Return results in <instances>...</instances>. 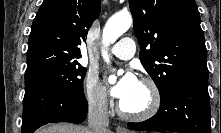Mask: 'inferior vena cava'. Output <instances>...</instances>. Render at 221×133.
Returning <instances> with one entry per match:
<instances>
[{
  "instance_id": "602c4592",
  "label": "inferior vena cava",
  "mask_w": 221,
  "mask_h": 133,
  "mask_svg": "<svg viewBox=\"0 0 221 133\" xmlns=\"http://www.w3.org/2000/svg\"><path fill=\"white\" fill-rule=\"evenodd\" d=\"M108 126L107 98L105 95L100 94L89 103V133H110Z\"/></svg>"
}]
</instances>
